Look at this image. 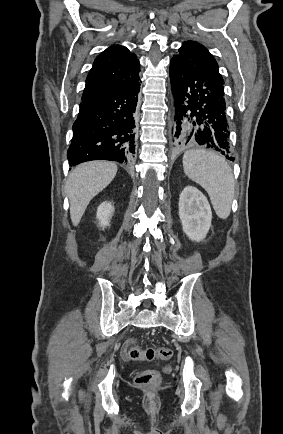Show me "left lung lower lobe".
I'll return each mask as SVG.
<instances>
[{
  "label": "left lung lower lobe",
  "mask_w": 283,
  "mask_h": 434,
  "mask_svg": "<svg viewBox=\"0 0 283 434\" xmlns=\"http://www.w3.org/2000/svg\"><path fill=\"white\" fill-rule=\"evenodd\" d=\"M174 96L172 126L175 146H201L228 156V124L224 86L175 60L170 61Z\"/></svg>",
  "instance_id": "1"
}]
</instances>
